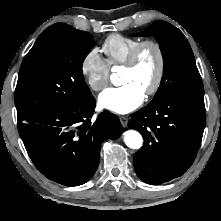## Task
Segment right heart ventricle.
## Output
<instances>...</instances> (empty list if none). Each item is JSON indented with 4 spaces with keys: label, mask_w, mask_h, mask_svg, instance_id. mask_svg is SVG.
<instances>
[{
    "label": "right heart ventricle",
    "mask_w": 221,
    "mask_h": 221,
    "mask_svg": "<svg viewBox=\"0 0 221 221\" xmlns=\"http://www.w3.org/2000/svg\"><path fill=\"white\" fill-rule=\"evenodd\" d=\"M140 41V38L129 35L117 33L109 35L102 45V50L106 55V61L109 66L123 65L132 49Z\"/></svg>",
    "instance_id": "obj_1"
}]
</instances>
